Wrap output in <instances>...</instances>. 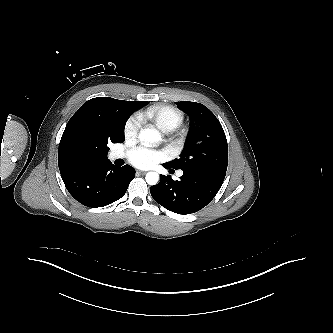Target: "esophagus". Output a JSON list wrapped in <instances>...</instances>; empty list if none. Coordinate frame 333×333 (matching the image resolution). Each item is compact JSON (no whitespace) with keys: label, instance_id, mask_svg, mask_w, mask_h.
I'll use <instances>...</instances> for the list:
<instances>
[{"label":"esophagus","instance_id":"esophagus-1","mask_svg":"<svg viewBox=\"0 0 333 333\" xmlns=\"http://www.w3.org/2000/svg\"><path fill=\"white\" fill-rule=\"evenodd\" d=\"M146 172L145 171H140V170H137L136 171V175L139 176V175H144Z\"/></svg>","mask_w":333,"mask_h":333}]
</instances>
